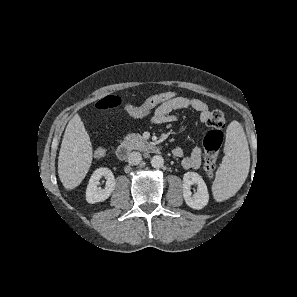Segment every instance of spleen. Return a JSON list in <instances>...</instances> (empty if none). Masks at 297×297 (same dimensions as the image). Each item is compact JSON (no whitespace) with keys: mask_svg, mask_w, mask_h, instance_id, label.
<instances>
[{"mask_svg":"<svg viewBox=\"0 0 297 297\" xmlns=\"http://www.w3.org/2000/svg\"><path fill=\"white\" fill-rule=\"evenodd\" d=\"M225 156L216 173L214 196L221 198L236 193L244 183L250 166V152L241 124L232 121L226 133ZM220 189L216 190V185Z\"/></svg>","mask_w":297,"mask_h":297,"instance_id":"spleen-1","label":"spleen"}]
</instances>
